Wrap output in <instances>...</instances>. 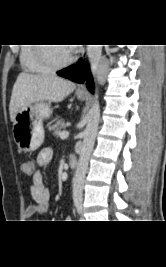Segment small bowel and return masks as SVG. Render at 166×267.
I'll return each instance as SVG.
<instances>
[{
	"label": "small bowel",
	"instance_id": "small-bowel-1",
	"mask_svg": "<svg viewBox=\"0 0 166 267\" xmlns=\"http://www.w3.org/2000/svg\"><path fill=\"white\" fill-rule=\"evenodd\" d=\"M53 156L51 148H43L37 155L32 171L31 196L34 204L29 206L26 211V217H33L37 214L46 213L50 206V190L45 186L41 168L49 164ZM69 219V217H66Z\"/></svg>",
	"mask_w": 166,
	"mask_h": 267
}]
</instances>
